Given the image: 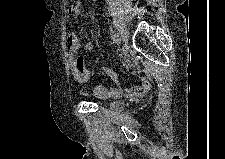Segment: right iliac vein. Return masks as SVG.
<instances>
[{
	"label": "right iliac vein",
	"instance_id": "right-iliac-vein-1",
	"mask_svg": "<svg viewBox=\"0 0 225 159\" xmlns=\"http://www.w3.org/2000/svg\"><path fill=\"white\" fill-rule=\"evenodd\" d=\"M118 35L123 42L128 41V31L124 26L120 27Z\"/></svg>",
	"mask_w": 225,
	"mask_h": 159
}]
</instances>
